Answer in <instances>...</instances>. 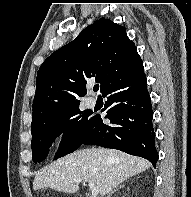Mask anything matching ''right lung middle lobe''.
<instances>
[{
	"mask_svg": "<svg viewBox=\"0 0 191 197\" xmlns=\"http://www.w3.org/2000/svg\"><path fill=\"white\" fill-rule=\"evenodd\" d=\"M82 112L79 105L60 112L31 128L32 158L35 163L44 160L54 139L63 134L54 160L79 148L94 122V117Z\"/></svg>",
	"mask_w": 191,
	"mask_h": 197,
	"instance_id": "right-lung-middle-lobe-1",
	"label": "right lung middle lobe"
}]
</instances>
